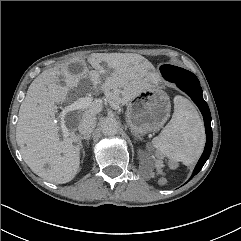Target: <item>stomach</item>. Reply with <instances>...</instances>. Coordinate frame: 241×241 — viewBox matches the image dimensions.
Masks as SVG:
<instances>
[{
  "label": "stomach",
  "instance_id": "1",
  "mask_svg": "<svg viewBox=\"0 0 241 241\" xmlns=\"http://www.w3.org/2000/svg\"><path fill=\"white\" fill-rule=\"evenodd\" d=\"M170 108L166 92L158 88H148L126 104V123L135 134L155 132L166 123Z\"/></svg>",
  "mask_w": 241,
  "mask_h": 241
}]
</instances>
